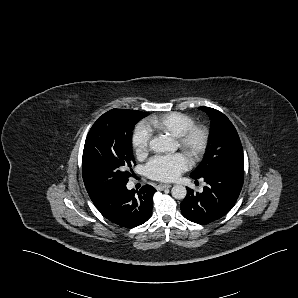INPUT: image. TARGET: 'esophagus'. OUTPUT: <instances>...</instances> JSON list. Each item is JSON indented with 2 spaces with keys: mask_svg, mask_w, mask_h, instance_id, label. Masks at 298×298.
Instances as JSON below:
<instances>
[{
  "mask_svg": "<svg viewBox=\"0 0 298 298\" xmlns=\"http://www.w3.org/2000/svg\"><path fill=\"white\" fill-rule=\"evenodd\" d=\"M170 187V185H168V184H158L157 186H156V188L158 189V190H163V189H165V188H169Z\"/></svg>",
  "mask_w": 298,
  "mask_h": 298,
  "instance_id": "34e87169",
  "label": "esophagus"
}]
</instances>
